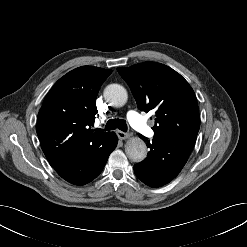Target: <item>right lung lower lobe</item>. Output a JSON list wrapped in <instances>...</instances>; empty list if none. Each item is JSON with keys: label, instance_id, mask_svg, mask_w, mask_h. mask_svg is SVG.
Returning a JSON list of instances; mask_svg holds the SVG:
<instances>
[{"label": "right lung lower lobe", "instance_id": "98d812e1", "mask_svg": "<svg viewBox=\"0 0 247 247\" xmlns=\"http://www.w3.org/2000/svg\"><path fill=\"white\" fill-rule=\"evenodd\" d=\"M117 142L118 138L113 132L99 146L66 160L54 169L63 179L74 185L87 184L101 173Z\"/></svg>", "mask_w": 247, "mask_h": 247}]
</instances>
